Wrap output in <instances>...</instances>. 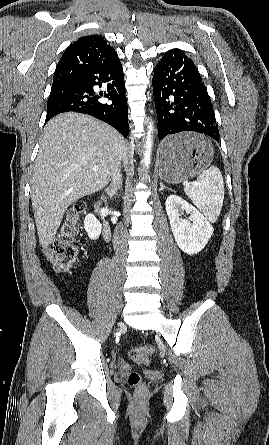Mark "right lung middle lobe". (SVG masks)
<instances>
[{
    "instance_id": "1",
    "label": "right lung middle lobe",
    "mask_w": 269,
    "mask_h": 445,
    "mask_svg": "<svg viewBox=\"0 0 269 445\" xmlns=\"http://www.w3.org/2000/svg\"><path fill=\"white\" fill-rule=\"evenodd\" d=\"M69 89L68 86L53 87L48 98V106L57 100L66 97L69 93Z\"/></svg>"
}]
</instances>
